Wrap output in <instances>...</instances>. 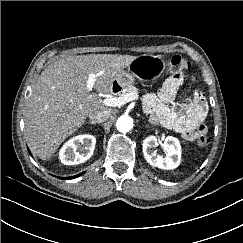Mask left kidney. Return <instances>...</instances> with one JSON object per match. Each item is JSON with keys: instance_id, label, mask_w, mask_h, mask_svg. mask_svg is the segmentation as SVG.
Segmentation results:
<instances>
[{"instance_id": "1", "label": "left kidney", "mask_w": 243, "mask_h": 243, "mask_svg": "<svg viewBox=\"0 0 243 243\" xmlns=\"http://www.w3.org/2000/svg\"><path fill=\"white\" fill-rule=\"evenodd\" d=\"M158 144V139L155 136H148L143 140L142 148L146 161L153 167H158L164 170L175 169L179 166L181 160V146L177 138L168 136L164 143L163 149L165 157L157 155L153 148Z\"/></svg>"}]
</instances>
